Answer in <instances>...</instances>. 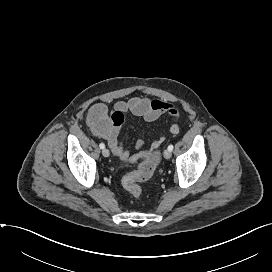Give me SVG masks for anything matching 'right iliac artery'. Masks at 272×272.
I'll return each instance as SVG.
<instances>
[{
	"mask_svg": "<svg viewBox=\"0 0 272 272\" xmlns=\"http://www.w3.org/2000/svg\"><path fill=\"white\" fill-rule=\"evenodd\" d=\"M99 147H100V149H104L105 148V144L104 143H100Z\"/></svg>",
	"mask_w": 272,
	"mask_h": 272,
	"instance_id": "obj_1",
	"label": "right iliac artery"
}]
</instances>
